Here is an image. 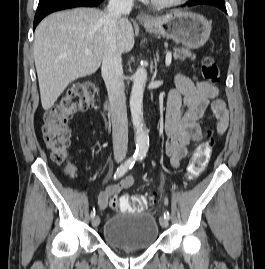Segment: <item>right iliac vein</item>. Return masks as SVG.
Instances as JSON below:
<instances>
[{"instance_id":"63e3f726","label":"right iliac vein","mask_w":265,"mask_h":269,"mask_svg":"<svg viewBox=\"0 0 265 269\" xmlns=\"http://www.w3.org/2000/svg\"><path fill=\"white\" fill-rule=\"evenodd\" d=\"M99 223H100V218L98 216H94L92 218V225H93V227H97L99 225Z\"/></svg>"}]
</instances>
